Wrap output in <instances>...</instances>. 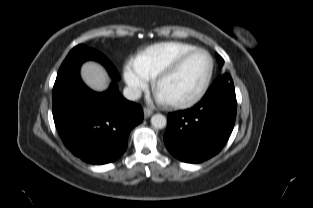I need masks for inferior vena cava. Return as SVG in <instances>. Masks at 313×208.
Returning a JSON list of instances; mask_svg holds the SVG:
<instances>
[{
    "label": "inferior vena cava",
    "mask_w": 313,
    "mask_h": 208,
    "mask_svg": "<svg viewBox=\"0 0 313 208\" xmlns=\"http://www.w3.org/2000/svg\"><path fill=\"white\" fill-rule=\"evenodd\" d=\"M141 90L134 86L125 87L123 90V95L126 99L135 101L141 97Z\"/></svg>",
    "instance_id": "602c4592"
}]
</instances>
